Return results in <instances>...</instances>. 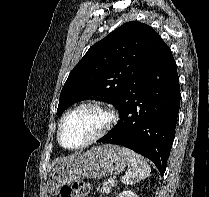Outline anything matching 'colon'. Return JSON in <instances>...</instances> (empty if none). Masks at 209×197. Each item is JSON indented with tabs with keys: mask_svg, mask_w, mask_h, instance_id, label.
I'll return each instance as SVG.
<instances>
[{
	"mask_svg": "<svg viewBox=\"0 0 209 197\" xmlns=\"http://www.w3.org/2000/svg\"><path fill=\"white\" fill-rule=\"evenodd\" d=\"M91 184L87 181H78L63 185L60 190L61 197H85L90 192Z\"/></svg>",
	"mask_w": 209,
	"mask_h": 197,
	"instance_id": "5ec220e1",
	"label": "colon"
}]
</instances>
